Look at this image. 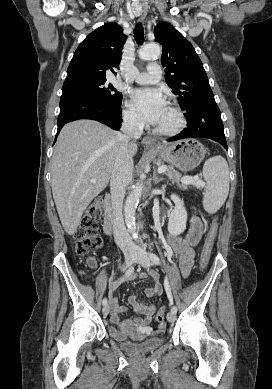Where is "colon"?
<instances>
[{
    "mask_svg": "<svg viewBox=\"0 0 272 389\" xmlns=\"http://www.w3.org/2000/svg\"><path fill=\"white\" fill-rule=\"evenodd\" d=\"M103 206L100 202L92 203L84 213L79 228L75 232V252L78 256H86L102 246V238L98 234V223L101 219ZM218 218L214 217L206 236L202 252L200 267L205 269L214 246L218 233ZM165 307L159 308L156 313V321L163 324L165 318Z\"/></svg>",
    "mask_w": 272,
    "mask_h": 389,
    "instance_id": "1",
    "label": "colon"
}]
</instances>
